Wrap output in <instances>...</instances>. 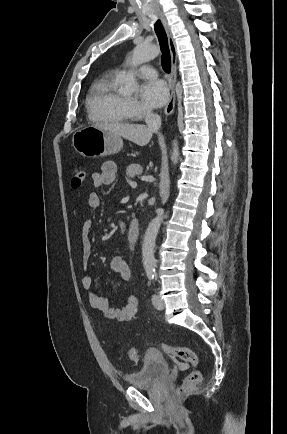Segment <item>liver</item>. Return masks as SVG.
Masks as SVG:
<instances>
[{
  "instance_id": "6515ba94",
  "label": "liver",
  "mask_w": 287,
  "mask_h": 434,
  "mask_svg": "<svg viewBox=\"0 0 287 434\" xmlns=\"http://www.w3.org/2000/svg\"><path fill=\"white\" fill-rule=\"evenodd\" d=\"M95 126L128 139L139 146L147 145L152 138L153 133L156 131L142 124L105 123Z\"/></svg>"
}]
</instances>
